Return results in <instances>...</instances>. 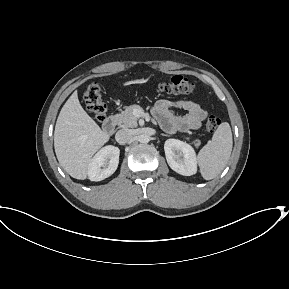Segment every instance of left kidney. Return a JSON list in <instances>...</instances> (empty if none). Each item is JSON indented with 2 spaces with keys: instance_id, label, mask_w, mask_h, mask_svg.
<instances>
[{
  "instance_id": "left-kidney-1",
  "label": "left kidney",
  "mask_w": 289,
  "mask_h": 289,
  "mask_svg": "<svg viewBox=\"0 0 289 289\" xmlns=\"http://www.w3.org/2000/svg\"><path fill=\"white\" fill-rule=\"evenodd\" d=\"M164 150L172 170L184 176L196 174L197 157L192 146L178 139H168L165 141Z\"/></svg>"
}]
</instances>
